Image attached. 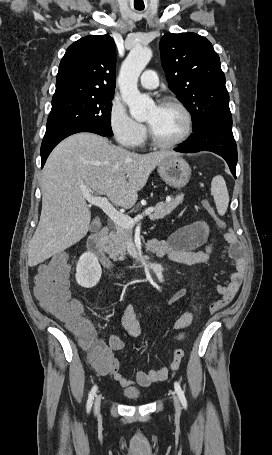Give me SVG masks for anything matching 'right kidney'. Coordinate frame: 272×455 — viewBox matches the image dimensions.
<instances>
[{
    "label": "right kidney",
    "instance_id": "1",
    "mask_svg": "<svg viewBox=\"0 0 272 455\" xmlns=\"http://www.w3.org/2000/svg\"><path fill=\"white\" fill-rule=\"evenodd\" d=\"M101 273V266L94 254L86 252L80 256L76 267V280L80 286L94 287L99 282Z\"/></svg>",
    "mask_w": 272,
    "mask_h": 455
}]
</instances>
